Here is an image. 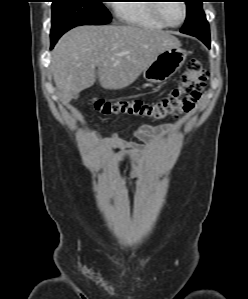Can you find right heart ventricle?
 Listing matches in <instances>:
<instances>
[{
    "label": "right heart ventricle",
    "mask_w": 248,
    "mask_h": 299,
    "mask_svg": "<svg viewBox=\"0 0 248 299\" xmlns=\"http://www.w3.org/2000/svg\"><path fill=\"white\" fill-rule=\"evenodd\" d=\"M133 3L116 4V13L119 19L127 25L156 29H164L165 26L154 16L153 0L126 1Z\"/></svg>",
    "instance_id": "1"
}]
</instances>
